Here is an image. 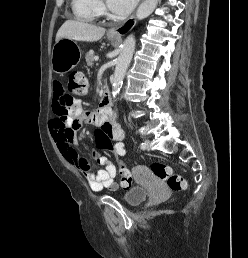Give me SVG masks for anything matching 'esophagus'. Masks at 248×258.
Masks as SVG:
<instances>
[{"instance_id":"obj_1","label":"esophagus","mask_w":248,"mask_h":258,"mask_svg":"<svg viewBox=\"0 0 248 258\" xmlns=\"http://www.w3.org/2000/svg\"><path fill=\"white\" fill-rule=\"evenodd\" d=\"M136 23L135 13L131 17L119 26L111 28L108 33L110 35L122 36L133 28Z\"/></svg>"}]
</instances>
